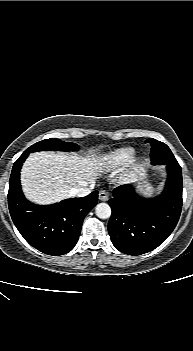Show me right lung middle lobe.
I'll return each mask as SVG.
<instances>
[{
	"label": "right lung middle lobe",
	"instance_id": "obj_1",
	"mask_svg": "<svg viewBox=\"0 0 193 351\" xmlns=\"http://www.w3.org/2000/svg\"><path fill=\"white\" fill-rule=\"evenodd\" d=\"M79 146L75 143L64 142L60 139L50 138L42 140L30 146L24 153H32L37 151H77Z\"/></svg>",
	"mask_w": 193,
	"mask_h": 351
}]
</instances>
